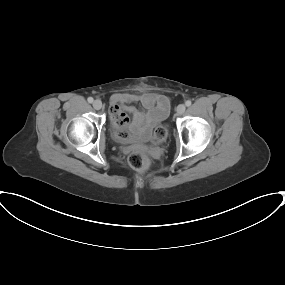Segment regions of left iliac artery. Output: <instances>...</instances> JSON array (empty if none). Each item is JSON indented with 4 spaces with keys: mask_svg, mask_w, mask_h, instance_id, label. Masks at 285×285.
<instances>
[{
    "mask_svg": "<svg viewBox=\"0 0 285 285\" xmlns=\"http://www.w3.org/2000/svg\"><path fill=\"white\" fill-rule=\"evenodd\" d=\"M191 104H192V102H191L190 100H187V101L185 102V105H186L187 107L191 106Z\"/></svg>",
    "mask_w": 285,
    "mask_h": 285,
    "instance_id": "left-iliac-artery-1",
    "label": "left iliac artery"
}]
</instances>
